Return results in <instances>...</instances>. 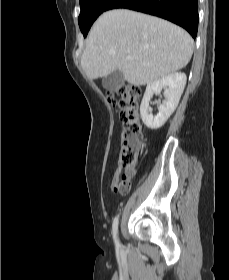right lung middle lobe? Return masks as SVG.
I'll list each match as a JSON object with an SVG mask.
<instances>
[{"label": "right lung middle lobe", "mask_w": 229, "mask_h": 280, "mask_svg": "<svg viewBox=\"0 0 229 280\" xmlns=\"http://www.w3.org/2000/svg\"><path fill=\"white\" fill-rule=\"evenodd\" d=\"M113 0H80L81 13L78 18L79 26L86 37L91 25L97 17L107 10Z\"/></svg>", "instance_id": "1"}]
</instances>
